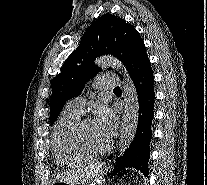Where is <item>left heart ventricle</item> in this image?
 <instances>
[{
    "label": "left heart ventricle",
    "instance_id": "b2bd125f",
    "mask_svg": "<svg viewBox=\"0 0 207 185\" xmlns=\"http://www.w3.org/2000/svg\"><path fill=\"white\" fill-rule=\"evenodd\" d=\"M84 134L95 149L104 148L110 139L96 127L93 120H88L85 123Z\"/></svg>",
    "mask_w": 207,
    "mask_h": 185
}]
</instances>
